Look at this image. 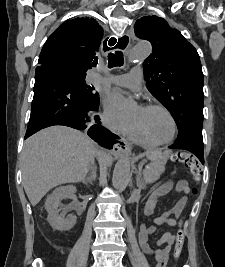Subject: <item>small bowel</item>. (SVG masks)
<instances>
[{"label": "small bowel", "instance_id": "c3829d8e", "mask_svg": "<svg viewBox=\"0 0 225 267\" xmlns=\"http://www.w3.org/2000/svg\"><path fill=\"white\" fill-rule=\"evenodd\" d=\"M173 188H175L178 193L183 194V196L179 199V201L170 211L155 219V223L158 225L166 224L169 226H174L176 224V218L181 214L186 203V195L189 192L187 182L181 179L176 182L169 181L161 185L156 190L152 198L149 199L144 206V214L151 215L156 206L155 197L163 195L172 190ZM153 229L154 228L152 226H146L145 224L141 225L139 232V244L141 249L146 254L152 255L156 261H160L162 259H165L171 251L175 243L176 236L170 231H165L162 237L157 241V246L159 248L154 250L148 244V238L149 235L153 232Z\"/></svg>", "mask_w": 225, "mask_h": 267}]
</instances>
